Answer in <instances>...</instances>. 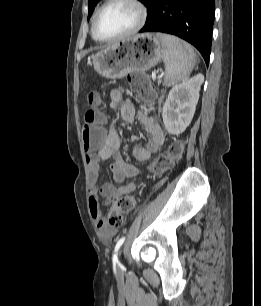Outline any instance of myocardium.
<instances>
[{
	"mask_svg": "<svg viewBox=\"0 0 261 306\" xmlns=\"http://www.w3.org/2000/svg\"><path fill=\"white\" fill-rule=\"evenodd\" d=\"M116 2H126V3H130L133 6H135L138 10V13H139L138 21H137L136 25L130 31H128L125 34L114 36V37H102V36L99 35L98 30H97L98 19H99L101 13L103 12V10L106 7H108L109 5H111L113 3H116ZM146 20H147V8L141 0H106L97 9L96 13L94 14L93 21H92V35L97 41H100V42L119 41V40L128 38V37L136 34L138 31H140L143 28V26L145 25Z\"/></svg>",
	"mask_w": 261,
	"mask_h": 306,
	"instance_id": "obj_1",
	"label": "myocardium"
}]
</instances>
